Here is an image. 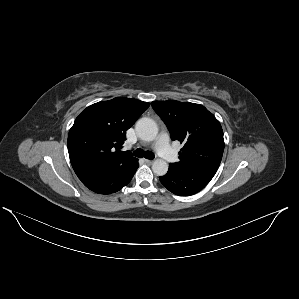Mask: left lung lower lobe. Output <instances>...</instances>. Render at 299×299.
<instances>
[{"instance_id":"left-lung-lower-lobe-1","label":"left lung lower lobe","mask_w":299,"mask_h":299,"mask_svg":"<svg viewBox=\"0 0 299 299\" xmlns=\"http://www.w3.org/2000/svg\"><path fill=\"white\" fill-rule=\"evenodd\" d=\"M217 169L209 167L179 168L171 163L166 175L159 179L172 193L190 196L201 191L213 178Z\"/></svg>"}]
</instances>
